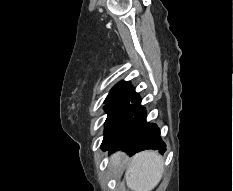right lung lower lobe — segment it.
I'll list each match as a JSON object with an SVG mask.
<instances>
[{"label": "right lung lower lobe", "mask_w": 233, "mask_h": 191, "mask_svg": "<svg viewBox=\"0 0 233 191\" xmlns=\"http://www.w3.org/2000/svg\"><path fill=\"white\" fill-rule=\"evenodd\" d=\"M126 98L129 104L118 121L105 133L102 149L110 152L124 150L130 155L145 149L164 153L166 145L161 140L159 128L146 122V110L139 104L140 96L131 90Z\"/></svg>", "instance_id": "obj_1"}]
</instances>
